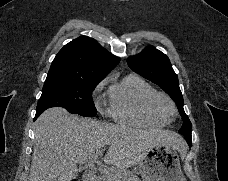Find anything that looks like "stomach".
Here are the masks:
<instances>
[{
	"mask_svg": "<svg viewBox=\"0 0 228 181\" xmlns=\"http://www.w3.org/2000/svg\"><path fill=\"white\" fill-rule=\"evenodd\" d=\"M138 173L142 181H186L177 149L171 145H156L147 149L138 161Z\"/></svg>",
	"mask_w": 228,
	"mask_h": 181,
	"instance_id": "stomach-1",
	"label": "stomach"
}]
</instances>
